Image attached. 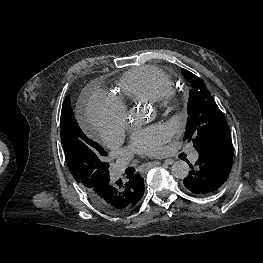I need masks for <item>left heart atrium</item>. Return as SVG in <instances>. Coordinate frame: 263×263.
Returning a JSON list of instances; mask_svg holds the SVG:
<instances>
[{"mask_svg":"<svg viewBox=\"0 0 263 263\" xmlns=\"http://www.w3.org/2000/svg\"><path fill=\"white\" fill-rule=\"evenodd\" d=\"M170 138V130L164 125H155L134 133L130 148L137 154L154 156Z\"/></svg>","mask_w":263,"mask_h":263,"instance_id":"obj_1","label":"left heart atrium"}]
</instances>
